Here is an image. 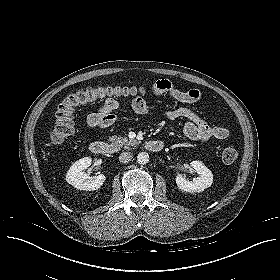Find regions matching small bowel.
Segmentation results:
<instances>
[{
  "label": "small bowel",
  "instance_id": "c3829d8e",
  "mask_svg": "<svg viewBox=\"0 0 280 280\" xmlns=\"http://www.w3.org/2000/svg\"><path fill=\"white\" fill-rule=\"evenodd\" d=\"M152 92L155 95L168 94L175 100L186 104L196 103L202 96L199 89L182 90L168 80L155 81L152 84ZM131 106L139 114L148 113L150 110L148 103L142 97L133 98ZM118 107L119 104L115 99H105L101 108L88 116V124L101 128L113 125L119 118L117 113ZM164 116L168 120H186L183 128L184 134L194 142L205 143L211 139H225L229 136L227 127L212 124L187 107L168 110Z\"/></svg>",
  "mask_w": 280,
  "mask_h": 280
}]
</instances>
